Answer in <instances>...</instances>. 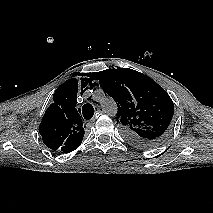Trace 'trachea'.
I'll list each match as a JSON object with an SVG mask.
<instances>
[{
	"instance_id": "1",
	"label": "trachea",
	"mask_w": 213,
	"mask_h": 213,
	"mask_svg": "<svg viewBox=\"0 0 213 213\" xmlns=\"http://www.w3.org/2000/svg\"><path fill=\"white\" fill-rule=\"evenodd\" d=\"M82 114L86 120H89L94 115V108L91 104L87 103L82 107Z\"/></svg>"
}]
</instances>
